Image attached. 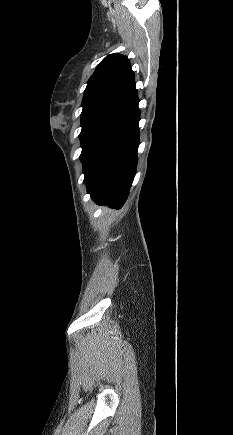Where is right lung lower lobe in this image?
Masks as SVG:
<instances>
[{
	"instance_id": "98d812e1",
	"label": "right lung lower lobe",
	"mask_w": 233,
	"mask_h": 435,
	"mask_svg": "<svg viewBox=\"0 0 233 435\" xmlns=\"http://www.w3.org/2000/svg\"><path fill=\"white\" fill-rule=\"evenodd\" d=\"M140 110L135 107L83 161L87 191L99 204L120 208L129 194L137 167Z\"/></svg>"
}]
</instances>
